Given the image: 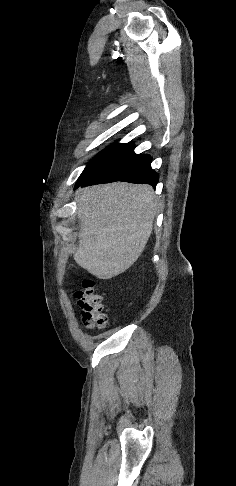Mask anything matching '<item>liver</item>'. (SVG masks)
<instances>
[{
  "label": "liver",
  "instance_id": "6515ba94",
  "mask_svg": "<svg viewBox=\"0 0 236 486\" xmlns=\"http://www.w3.org/2000/svg\"><path fill=\"white\" fill-rule=\"evenodd\" d=\"M81 223L74 259L90 274L111 279L131 267L152 233L157 202L149 185L116 182L77 193Z\"/></svg>",
  "mask_w": 236,
  "mask_h": 486
}]
</instances>
